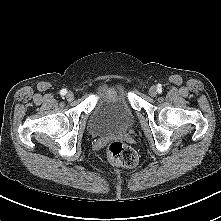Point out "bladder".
<instances>
[{
    "label": "bladder",
    "mask_w": 221,
    "mask_h": 221,
    "mask_svg": "<svg viewBox=\"0 0 221 221\" xmlns=\"http://www.w3.org/2000/svg\"><path fill=\"white\" fill-rule=\"evenodd\" d=\"M134 124V113L121 87L105 85L96 95L88 120V131L95 137L128 133Z\"/></svg>",
    "instance_id": "31cf9c89"
}]
</instances>
